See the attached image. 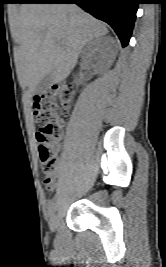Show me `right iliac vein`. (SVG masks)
<instances>
[{"instance_id":"right-iliac-vein-1","label":"right iliac vein","mask_w":166,"mask_h":267,"mask_svg":"<svg viewBox=\"0 0 166 267\" xmlns=\"http://www.w3.org/2000/svg\"><path fill=\"white\" fill-rule=\"evenodd\" d=\"M59 225V216L57 214L53 215L50 221V230L52 232L56 231Z\"/></svg>"}]
</instances>
